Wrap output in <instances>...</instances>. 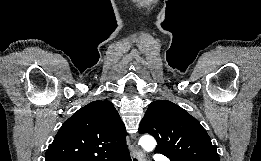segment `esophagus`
Listing matches in <instances>:
<instances>
[{"label": "esophagus", "instance_id": "34e87169", "mask_svg": "<svg viewBox=\"0 0 261 161\" xmlns=\"http://www.w3.org/2000/svg\"><path fill=\"white\" fill-rule=\"evenodd\" d=\"M132 161H146L144 152L136 149L132 155Z\"/></svg>", "mask_w": 261, "mask_h": 161}]
</instances>
